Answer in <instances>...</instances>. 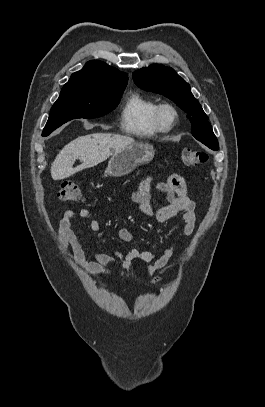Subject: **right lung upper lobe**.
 <instances>
[{
	"label": "right lung upper lobe",
	"mask_w": 265,
	"mask_h": 407,
	"mask_svg": "<svg viewBox=\"0 0 265 407\" xmlns=\"http://www.w3.org/2000/svg\"><path fill=\"white\" fill-rule=\"evenodd\" d=\"M95 81L108 84L127 85V74L98 60H92L78 72L71 75L69 82Z\"/></svg>",
	"instance_id": "obj_1"
}]
</instances>
